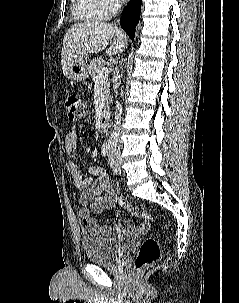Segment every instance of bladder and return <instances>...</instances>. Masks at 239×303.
<instances>
[{
    "label": "bladder",
    "instance_id": "31cf9c89",
    "mask_svg": "<svg viewBox=\"0 0 239 303\" xmlns=\"http://www.w3.org/2000/svg\"><path fill=\"white\" fill-rule=\"evenodd\" d=\"M132 241L133 236L86 235L82 238V247L89 261L113 266L126 254Z\"/></svg>",
    "mask_w": 239,
    "mask_h": 303
}]
</instances>
